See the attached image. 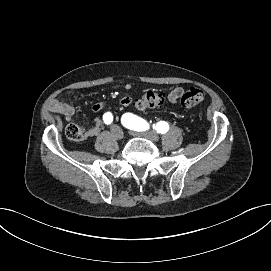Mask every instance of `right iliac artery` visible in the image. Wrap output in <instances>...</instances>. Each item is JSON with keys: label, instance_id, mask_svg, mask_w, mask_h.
Here are the masks:
<instances>
[{"label": "right iliac artery", "instance_id": "82829eb1", "mask_svg": "<svg viewBox=\"0 0 271 271\" xmlns=\"http://www.w3.org/2000/svg\"><path fill=\"white\" fill-rule=\"evenodd\" d=\"M103 121L105 124H111V122L113 121V116L110 112H107L103 115Z\"/></svg>", "mask_w": 271, "mask_h": 271}]
</instances>
